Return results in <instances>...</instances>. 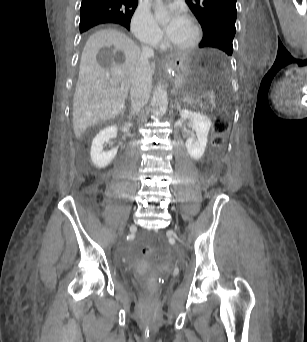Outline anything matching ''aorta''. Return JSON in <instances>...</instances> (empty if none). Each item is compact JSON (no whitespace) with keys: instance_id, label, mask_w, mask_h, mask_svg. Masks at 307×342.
<instances>
[{"instance_id":"obj_1","label":"aorta","mask_w":307,"mask_h":342,"mask_svg":"<svg viewBox=\"0 0 307 342\" xmlns=\"http://www.w3.org/2000/svg\"><path fill=\"white\" fill-rule=\"evenodd\" d=\"M159 6L162 4V0H155ZM159 14V12H157ZM169 20V18H167ZM152 108L155 116H163L167 112L168 108V94L164 86H157L152 96Z\"/></svg>"}]
</instances>
